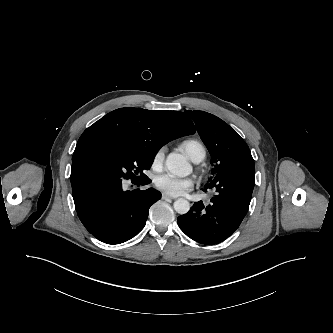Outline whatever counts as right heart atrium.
I'll return each instance as SVG.
<instances>
[{
    "mask_svg": "<svg viewBox=\"0 0 333 333\" xmlns=\"http://www.w3.org/2000/svg\"><path fill=\"white\" fill-rule=\"evenodd\" d=\"M163 159H164V148L159 149L156 151L152 158V168L155 170H158L163 165Z\"/></svg>",
    "mask_w": 333,
    "mask_h": 333,
    "instance_id": "right-heart-atrium-1",
    "label": "right heart atrium"
}]
</instances>
